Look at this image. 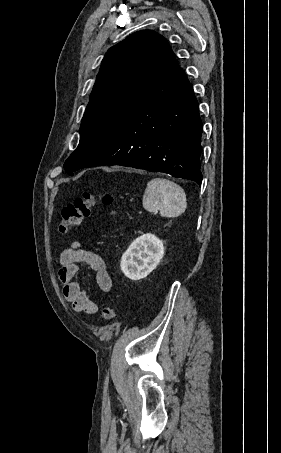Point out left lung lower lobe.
<instances>
[{"instance_id":"1","label":"left lung lower lobe","mask_w":281,"mask_h":453,"mask_svg":"<svg viewBox=\"0 0 281 453\" xmlns=\"http://www.w3.org/2000/svg\"><path fill=\"white\" fill-rule=\"evenodd\" d=\"M201 134L198 102L171 52L132 114L84 167L128 166L201 184Z\"/></svg>"}]
</instances>
